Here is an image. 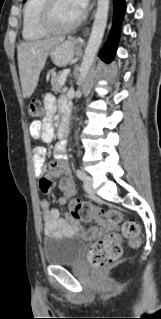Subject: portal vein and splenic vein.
<instances>
[{
  "label": "portal vein and splenic vein",
  "instance_id": "portal-vein-and-splenic-vein-1",
  "mask_svg": "<svg viewBox=\"0 0 161 319\" xmlns=\"http://www.w3.org/2000/svg\"><path fill=\"white\" fill-rule=\"evenodd\" d=\"M70 69H65L64 71H62L61 73V80H60V84L63 86L65 84L66 81V77L69 74Z\"/></svg>",
  "mask_w": 161,
  "mask_h": 319
}]
</instances>
